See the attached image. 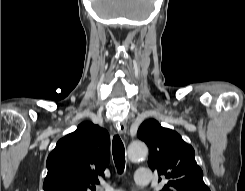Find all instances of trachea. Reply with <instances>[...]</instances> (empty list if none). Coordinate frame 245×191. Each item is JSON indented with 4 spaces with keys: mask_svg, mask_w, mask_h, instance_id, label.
Listing matches in <instances>:
<instances>
[{
    "mask_svg": "<svg viewBox=\"0 0 245 191\" xmlns=\"http://www.w3.org/2000/svg\"><path fill=\"white\" fill-rule=\"evenodd\" d=\"M112 150L117 171L122 173L125 168V148L119 135L113 137Z\"/></svg>",
    "mask_w": 245,
    "mask_h": 191,
    "instance_id": "obj_1",
    "label": "trachea"
}]
</instances>
